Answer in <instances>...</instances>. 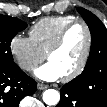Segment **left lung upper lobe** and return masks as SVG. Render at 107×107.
I'll return each instance as SVG.
<instances>
[{"mask_svg":"<svg viewBox=\"0 0 107 107\" xmlns=\"http://www.w3.org/2000/svg\"><path fill=\"white\" fill-rule=\"evenodd\" d=\"M77 10L89 26L92 45L84 71L72 81L90 86V81L96 73L102 70L103 67H106L107 70V29L90 11L83 8Z\"/></svg>","mask_w":107,"mask_h":107,"instance_id":"left-lung-upper-lobe-1","label":"left lung upper lobe"}]
</instances>
